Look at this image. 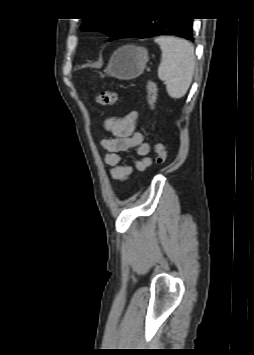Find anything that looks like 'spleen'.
Instances as JSON below:
<instances>
[{"label": "spleen", "mask_w": 254, "mask_h": 355, "mask_svg": "<svg viewBox=\"0 0 254 355\" xmlns=\"http://www.w3.org/2000/svg\"><path fill=\"white\" fill-rule=\"evenodd\" d=\"M162 51L158 77L166 84L171 98H182L192 82L195 68L193 45L177 37L160 36L155 39Z\"/></svg>", "instance_id": "obj_1"}]
</instances>
